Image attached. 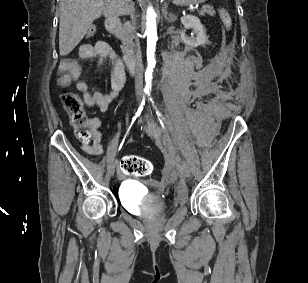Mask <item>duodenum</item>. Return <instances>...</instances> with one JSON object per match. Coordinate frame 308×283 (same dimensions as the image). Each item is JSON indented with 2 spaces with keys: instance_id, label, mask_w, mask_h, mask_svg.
<instances>
[{
  "instance_id": "410a0bca",
  "label": "duodenum",
  "mask_w": 308,
  "mask_h": 283,
  "mask_svg": "<svg viewBox=\"0 0 308 283\" xmlns=\"http://www.w3.org/2000/svg\"><path fill=\"white\" fill-rule=\"evenodd\" d=\"M105 28L109 34L114 37L118 36L120 28V20L116 16H109L105 21ZM127 70L134 73L136 64V55L132 52H125L123 56Z\"/></svg>"
}]
</instances>
